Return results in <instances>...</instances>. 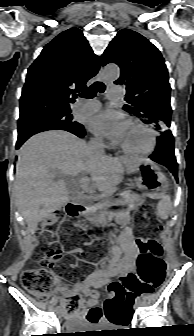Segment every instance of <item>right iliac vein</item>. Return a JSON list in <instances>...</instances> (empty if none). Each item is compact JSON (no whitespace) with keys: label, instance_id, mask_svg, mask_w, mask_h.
Returning <instances> with one entry per match:
<instances>
[{"label":"right iliac vein","instance_id":"1","mask_svg":"<svg viewBox=\"0 0 194 336\" xmlns=\"http://www.w3.org/2000/svg\"><path fill=\"white\" fill-rule=\"evenodd\" d=\"M63 313V308L62 307H58V314L61 315Z\"/></svg>","mask_w":194,"mask_h":336}]
</instances>
